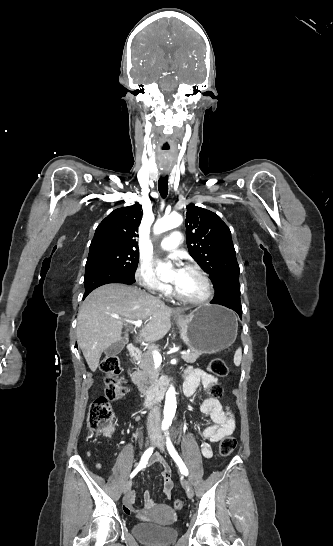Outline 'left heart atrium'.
I'll return each instance as SVG.
<instances>
[{"instance_id": "1", "label": "left heart atrium", "mask_w": 333, "mask_h": 546, "mask_svg": "<svg viewBox=\"0 0 333 546\" xmlns=\"http://www.w3.org/2000/svg\"><path fill=\"white\" fill-rule=\"evenodd\" d=\"M171 259L174 262H176V257H171ZM184 274H185V269H183L181 266L178 265L175 270V279H174V285L176 288L180 285L184 277Z\"/></svg>"}]
</instances>
